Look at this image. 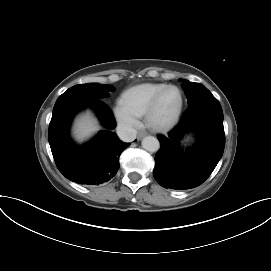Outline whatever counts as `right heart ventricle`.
<instances>
[{"mask_svg":"<svg viewBox=\"0 0 271 271\" xmlns=\"http://www.w3.org/2000/svg\"><path fill=\"white\" fill-rule=\"evenodd\" d=\"M165 86L160 83H143L130 87L122 93L120 103L135 117H143L152 99Z\"/></svg>","mask_w":271,"mask_h":271,"instance_id":"e07e8e85","label":"right heart ventricle"}]
</instances>
